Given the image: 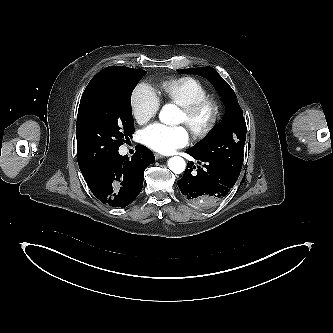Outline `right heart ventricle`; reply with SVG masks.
I'll list each match as a JSON object with an SVG mask.
<instances>
[{"mask_svg": "<svg viewBox=\"0 0 333 333\" xmlns=\"http://www.w3.org/2000/svg\"><path fill=\"white\" fill-rule=\"evenodd\" d=\"M164 97L180 107L190 105L209 96L206 86L193 77H179L162 82Z\"/></svg>", "mask_w": 333, "mask_h": 333, "instance_id": "e07e8e85", "label": "right heart ventricle"}]
</instances>
